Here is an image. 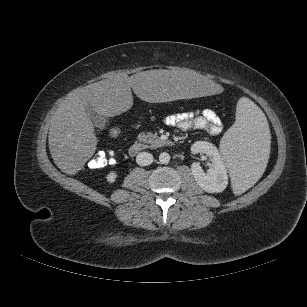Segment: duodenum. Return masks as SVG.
Segmentation results:
<instances>
[{
    "label": "duodenum",
    "mask_w": 307,
    "mask_h": 307,
    "mask_svg": "<svg viewBox=\"0 0 307 307\" xmlns=\"http://www.w3.org/2000/svg\"><path fill=\"white\" fill-rule=\"evenodd\" d=\"M152 147H162V146H172L173 142L165 139V138H158L154 142L150 144ZM148 146L145 142H135L130 145L128 148V154L131 157H134L138 155L140 152H142L146 147Z\"/></svg>",
    "instance_id": "duodenum-1"
}]
</instances>
